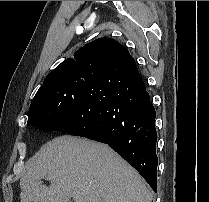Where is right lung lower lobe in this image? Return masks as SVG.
<instances>
[{"mask_svg":"<svg viewBox=\"0 0 209 202\" xmlns=\"http://www.w3.org/2000/svg\"><path fill=\"white\" fill-rule=\"evenodd\" d=\"M155 109L136 63L95 77L63 130L108 144L157 191Z\"/></svg>","mask_w":209,"mask_h":202,"instance_id":"right-lung-lower-lobe-1","label":"right lung lower lobe"}]
</instances>
